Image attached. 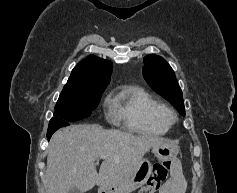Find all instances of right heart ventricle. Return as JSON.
Segmentation results:
<instances>
[{
    "label": "right heart ventricle",
    "mask_w": 237,
    "mask_h": 193,
    "mask_svg": "<svg viewBox=\"0 0 237 193\" xmlns=\"http://www.w3.org/2000/svg\"><path fill=\"white\" fill-rule=\"evenodd\" d=\"M110 104L112 117L130 132L163 135L169 130L163 118L164 104L139 86H123L112 96Z\"/></svg>",
    "instance_id": "right-heart-ventricle-1"
}]
</instances>
